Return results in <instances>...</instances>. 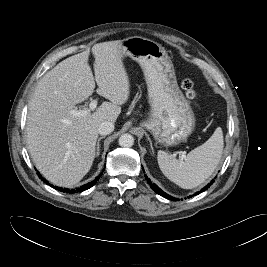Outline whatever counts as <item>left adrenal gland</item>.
Returning a JSON list of instances; mask_svg holds the SVG:
<instances>
[{"label": "left adrenal gland", "mask_w": 267, "mask_h": 267, "mask_svg": "<svg viewBox=\"0 0 267 267\" xmlns=\"http://www.w3.org/2000/svg\"><path fill=\"white\" fill-rule=\"evenodd\" d=\"M148 140H149V143H150L151 151H152V153L154 155V149H153V146H152V141H151V139L149 137H148Z\"/></svg>", "instance_id": "a2214340"}]
</instances>
